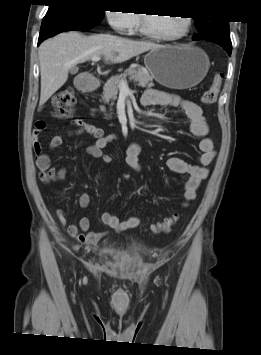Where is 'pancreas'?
Returning <instances> with one entry per match:
<instances>
[{"instance_id": "1", "label": "pancreas", "mask_w": 261, "mask_h": 355, "mask_svg": "<svg viewBox=\"0 0 261 355\" xmlns=\"http://www.w3.org/2000/svg\"><path fill=\"white\" fill-rule=\"evenodd\" d=\"M128 76L130 77V79H133L135 82H137L138 85L141 87L154 86L153 77L149 73L143 71L142 69H136L130 67L126 69L124 73L115 75L107 80V82L103 87V96H102V99L104 100L105 103H109L110 101H114L117 99V94L119 89L118 83L120 81H126ZM100 109L102 111L105 110L103 106H101Z\"/></svg>"}]
</instances>
